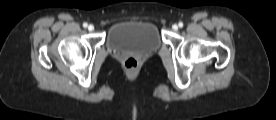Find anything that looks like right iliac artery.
I'll list each match as a JSON object with an SVG mask.
<instances>
[{
	"mask_svg": "<svg viewBox=\"0 0 276 120\" xmlns=\"http://www.w3.org/2000/svg\"><path fill=\"white\" fill-rule=\"evenodd\" d=\"M88 26V24L85 22L83 23V27L86 28Z\"/></svg>",
	"mask_w": 276,
	"mask_h": 120,
	"instance_id": "obj_1",
	"label": "right iliac artery"
}]
</instances>
